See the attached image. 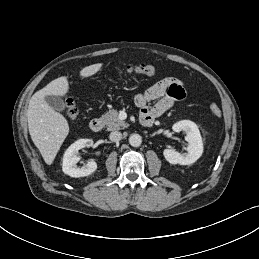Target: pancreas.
<instances>
[{
    "instance_id": "1",
    "label": "pancreas",
    "mask_w": 259,
    "mask_h": 259,
    "mask_svg": "<svg viewBox=\"0 0 259 259\" xmlns=\"http://www.w3.org/2000/svg\"><path fill=\"white\" fill-rule=\"evenodd\" d=\"M100 119L105 123L109 131L128 127V124L119 118L118 112L116 110L107 112L106 114L102 115Z\"/></svg>"
}]
</instances>
